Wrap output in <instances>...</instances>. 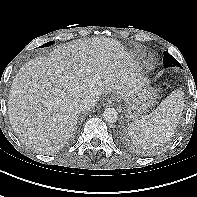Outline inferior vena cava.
<instances>
[{"mask_svg":"<svg viewBox=\"0 0 197 197\" xmlns=\"http://www.w3.org/2000/svg\"><path fill=\"white\" fill-rule=\"evenodd\" d=\"M97 99L98 97L91 96V95L84 97L80 101V105H79L80 110L85 111L86 109H89L90 107L95 106L97 103Z\"/></svg>","mask_w":197,"mask_h":197,"instance_id":"inferior-vena-cava-1","label":"inferior vena cava"}]
</instances>
